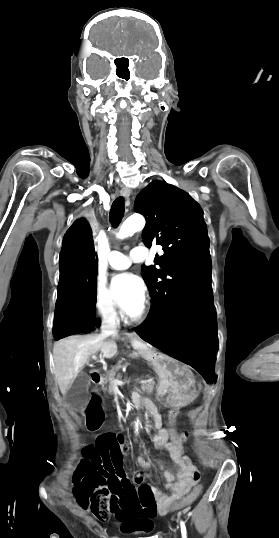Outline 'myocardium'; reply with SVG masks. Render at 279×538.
Segmentation results:
<instances>
[{
    "label": "myocardium",
    "mask_w": 279,
    "mask_h": 538,
    "mask_svg": "<svg viewBox=\"0 0 279 538\" xmlns=\"http://www.w3.org/2000/svg\"><path fill=\"white\" fill-rule=\"evenodd\" d=\"M145 226L139 227V226H132L131 233H138L144 231ZM147 306L146 304H143L141 308L133 314H125L124 318L126 320L132 321V322H140L142 321L146 316Z\"/></svg>",
    "instance_id": "obj_1"
}]
</instances>
